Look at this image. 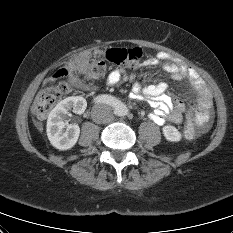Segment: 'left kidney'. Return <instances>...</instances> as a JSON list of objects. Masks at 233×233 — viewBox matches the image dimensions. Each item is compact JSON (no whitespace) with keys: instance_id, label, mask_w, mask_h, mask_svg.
I'll use <instances>...</instances> for the list:
<instances>
[{"instance_id":"obj_1","label":"left kidney","mask_w":233,"mask_h":233,"mask_svg":"<svg viewBox=\"0 0 233 233\" xmlns=\"http://www.w3.org/2000/svg\"><path fill=\"white\" fill-rule=\"evenodd\" d=\"M162 131L168 141L178 142L182 138L181 133L174 126H164Z\"/></svg>"}]
</instances>
